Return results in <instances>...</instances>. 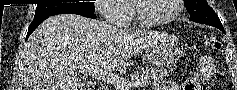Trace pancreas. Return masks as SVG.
Segmentation results:
<instances>
[{
	"label": "pancreas",
	"mask_w": 237,
	"mask_h": 90,
	"mask_svg": "<svg viewBox=\"0 0 237 90\" xmlns=\"http://www.w3.org/2000/svg\"><path fill=\"white\" fill-rule=\"evenodd\" d=\"M135 76L139 78V80H144L145 86L148 84H152V82H160L163 80L164 76H168V72L166 70H155V68H137L135 72Z\"/></svg>",
	"instance_id": "obj_1"
}]
</instances>
